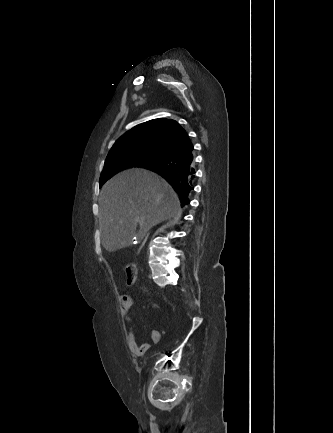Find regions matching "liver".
Returning <instances> with one entry per match:
<instances>
[{
    "label": "liver",
    "mask_w": 333,
    "mask_h": 433,
    "mask_svg": "<svg viewBox=\"0 0 333 433\" xmlns=\"http://www.w3.org/2000/svg\"><path fill=\"white\" fill-rule=\"evenodd\" d=\"M99 226L109 252L129 247L140 225L142 236L156 224L181 215L173 188L156 173L142 168L124 170L101 190Z\"/></svg>",
    "instance_id": "1"
}]
</instances>
